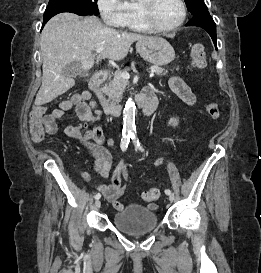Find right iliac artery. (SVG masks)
I'll return each instance as SVG.
<instances>
[{
    "instance_id": "obj_1",
    "label": "right iliac artery",
    "mask_w": 261,
    "mask_h": 273,
    "mask_svg": "<svg viewBox=\"0 0 261 273\" xmlns=\"http://www.w3.org/2000/svg\"><path fill=\"white\" fill-rule=\"evenodd\" d=\"M130 137H131V131L128 129H123L122 131V139H121V143H120V147L122 151H125L128 147V144L130 142ZM101 197L100 193H97L95 195V199H99Z\"/></svg>"
}]
</instances>
